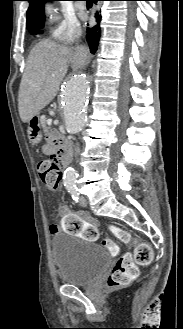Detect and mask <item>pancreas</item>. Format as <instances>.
Segmentation results:
<instances>
[{"label":"pancreas","instance_id":"pancreas-1","mask_svg":"<svg viewBox=\"0 0 183 329\" xmlns=\"http://www.w3.org/2000/svg\"><path fill=\"white\" fill-rule=\"evenodd\" d=\"M40 124L45 132L50 131V127L47 126V119L46 118H41L40 119Z\"/></svg>","mask_w":183,"mask_h":329}]
</instances>
